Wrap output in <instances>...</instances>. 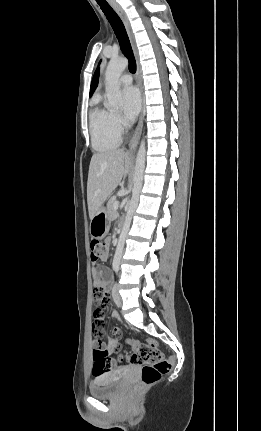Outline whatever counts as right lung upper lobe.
Instances as JSON below:
<instances>
[{"instance_id":"cb5924a9","label":"right lung upper lobe","mask_w":261,"mask_h":431,"mask_svg":"<svg viewBox=\"0 0 261 431\" xmlns=\"http://www.w3.org/2000/svg\"><path fill=\"white\" fill-rule=\"evenodd\" d=\"M98 78H99V69L96 70L93 80L91 82V86H90V95L93 93V91L95 90V88L98 85Z\"/></svg>"}]
</instances>
